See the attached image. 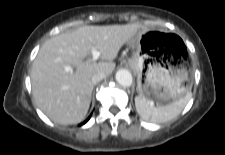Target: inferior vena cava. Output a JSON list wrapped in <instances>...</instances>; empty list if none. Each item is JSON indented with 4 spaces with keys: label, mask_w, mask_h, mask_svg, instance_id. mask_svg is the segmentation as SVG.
Returning a JSON list of instances; mask_svg holds the SVG:
<instances>
[{
    "label": "inferior vena cava",
    "mask_w": 225,
    "mask_h": 155,
    "mask_svg": "<svg viewBox=\"0 0 225 155\" xmlns=\"http://www.w3.org/2000/svg\"><path fill=\"white\" fill-rule=\"evenodd\" d=\"M104 78H105V74L102 72H99L92 76L91 81L93 84H96V83L100 82L101 80H103Z\"/></svg>",
    "instance_id": "1"
}]
</instances>
